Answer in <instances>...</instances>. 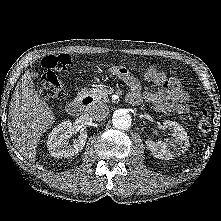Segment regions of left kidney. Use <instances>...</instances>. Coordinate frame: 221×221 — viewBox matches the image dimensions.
I'll return each instance as SVG.
<instances>
[{
    "label": "left kidney",
    "mask_w": 221,
    "mask_h": 221,
    "mask_svg": "<svg viewBox=\"0 0 221 221\" xmlns=\"http://www.w3.org/2000/svg\"><path fill=\"white\" fill-rule=\"evenodd\" d=\"M163 127L171 132L169 141L147 140L146 144L155 158L169 160L184 153L190 143L186 131L179 123L166 120Z\"/></svg>",
    "instance_id": "left-kidney-1"
}]
</instances>
